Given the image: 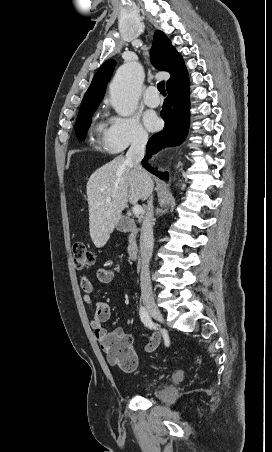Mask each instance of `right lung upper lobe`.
I'll list each match as a JSON object with an SVG mask.
<instances>
[{
	"label": "right lung upper lobe",
	"mask_w": 272,
	"mask_h": 452,
	"mask_svg": "<svg viewBox=\"0 0 272 452\" xmlns=\"http://www.w3.org/2000/svg\"><path fill=\"white\" fill-rule=\"evenodd\" d=\"M151 58L156 68L170 73L171 77L167 81V89L187 78V70L181 55L172 46L167 36L159 30L154 35ZM114 66L115 61L110 59L99 68L83 98L81 107L99 105L104 97L106 85L110 80Z\"/></svg>",
	"instance_id": "right-lung-upper-lobe-1"
}]
</instances>
